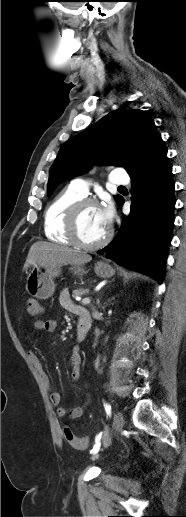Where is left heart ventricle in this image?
Listing matches in <instances>:
<instances>
[{"instance_id":"1","label":"left heart ventricle","mask_w":186,"mask_h":517,"mask_svg":"<svg viewBox=\"0 0 186 517\" xmlns=\"http://www.w3.org/2000/svg\"><path fill=\"white\" fill-rule=\"evenodd\" d=\"M108 227L104 225L99 214V207H85L79 218V233L88 243L96 242L104 236Z\"/></svg>"}]
</instances>
